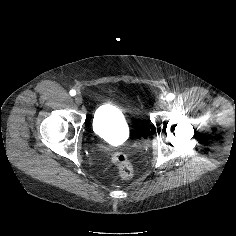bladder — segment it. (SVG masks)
<instances>
[{
  "label": "bladder",
  "mask_w": 236,
  "mask_h": 236,
  "mask_svg": "<svg viewBox=\"0 0 236 236\" xmlns=\"http://www.w3.org/2000/svg\"><path fill=\"white\" fill-rule=\"evenodd\" d=\"M92 127L102 139H117L129 131L128 121L122 110L113 103L99 105L93 114Z\"/></svg>",
  "instance_id": "obj_1"
}]
</instances>
